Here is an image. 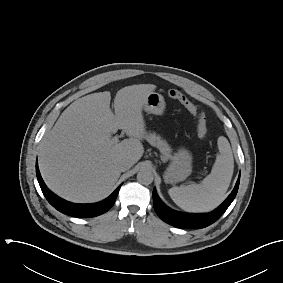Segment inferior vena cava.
Returning <instances> with one entry per match:
<instances>
[{"label": "inferior vena cava", "instance_id": "602c4592", "mask_svg": "<svg viewBox=\"0 0 283 283\" xmlns=\"http://www.w3.org/2000/svg\"><path fill=\"white\" fill-rule=\"evenodd\" d=\"M117 166L121 172H124L131 168L132 163L128 160H121L118 162Z\"/></svg>", "mask_w": 283, "mask_h": 283}]
</instances>
